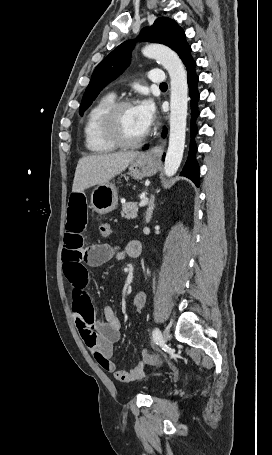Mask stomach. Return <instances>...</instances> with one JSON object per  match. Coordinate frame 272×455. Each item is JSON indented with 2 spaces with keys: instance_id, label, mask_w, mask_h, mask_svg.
Returning a JSON list of instances; mask_svg holds the SVG:
<instances>
[{
  "instance_id": "stomach-1",
  "label": "stomach",
  "mask_w": 272,
  "mask_h": 455,
  "mask_svg": "<svg viewBox=\"0 0 272 455\" xmlns=\"http://www.w3.org/2000/svg\"><path fill=\"white\" fill-rule=\"evenodd\" d=\"M157 161L146 153L139 154L129 165V174L135 179L149 177L157 172ZM118 204V193L115 185L107 182L97 185L91 194V207L98 214H107Z\"/></svg>"
}]
</instances>
